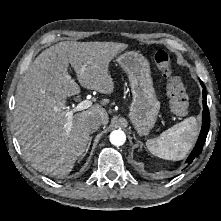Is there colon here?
<instances>
[{
	"instance_id": "1",
	"label": "colon",
	"mask_w": 221,
	"mask_h": 221,
	"mask_svg": "<svg viewBox=\"0 0 221 221\" xmlns=\"http://www.w3.org/2000/svg\"><path fill=\"white\" fill-rule=\"evenodd\" d=\"M151 56L166 79L171 111L184 115L188 109V95L183 81L172 67L170 54L165 50H154Z\"/></svg>"
}]
</instances>
